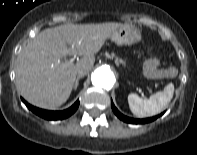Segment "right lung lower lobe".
Instances as JSON below:
<instances>
[{
	"mask_svg": "<svg viewBox=\"0 0 197 155\" xmlns=\"http://www.w3.org/2000/svg\"><path fill=\"white\" fill-rule=\"evenodd\" d=\"M22 101L25 103V105L35 114L38 116L47 119V120H61L65 119L69 116H71L78 108L79 106V100H77L70 108L63 110V111H49V110H43L37 107H34L30 104H28L24 99Z\"/></svg>",
	"mask_w": 197,
	"mask_h": 155,
	"instance_id": "1",
	"label": "right lung lower lobe"
}]
</instances>
